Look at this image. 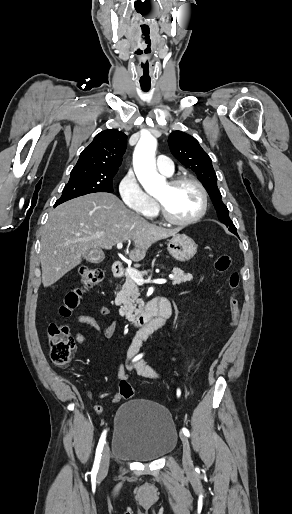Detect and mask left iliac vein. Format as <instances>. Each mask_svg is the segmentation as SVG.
<instances>
[{"mask_svg":"<svg viewBox=\"0 0 292 514\" xmlns=\"http://www.w3.org/2000/svg\"><path fill=\"white\" fill-rule=\"evenodd\" d=\"M180 439L182 441L183 445V466L185 469H191L193 466L192 458H191V448H190V442L186 435L180 434Z\"/></svg>","mask_w":292,"mask_h":514,"instance_id":"1","label":"left iliac vein"}]
</instances>
